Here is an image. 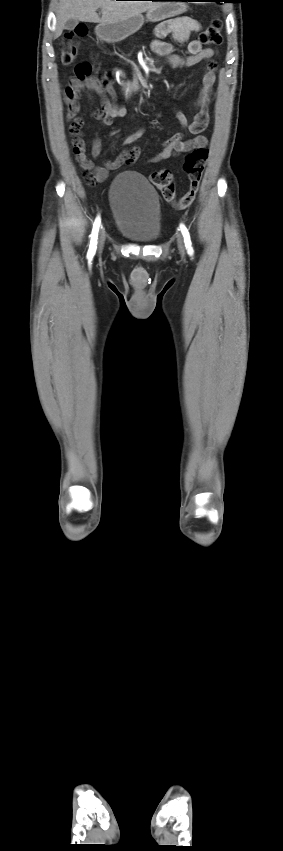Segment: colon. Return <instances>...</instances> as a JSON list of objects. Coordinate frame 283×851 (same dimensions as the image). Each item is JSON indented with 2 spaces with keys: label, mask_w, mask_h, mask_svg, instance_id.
<instances>
[{
  "label": "colon",
  "mask_w": 283,
  "mask_h": 851,
  "mask_svg": "<svg viewBox=\"0 0 283 851\" xmlns=\"http://www.w3.org/2000/svg\"><path fill=\"white\" fill-rule=\"evenodd\" d=\"M222 24L219 19H214L211 25L204 31L199 33L197 40L206 45H216L222 40L221 36ZM87 30L83 26L77 27L74 31L66 33L60 45L61 61L63 64H71L77 55V39L84 37ZM93 67L89 65L91 72ZM100 78L104 82L110 81V78L105 74H100ZM208 149L205 147L196 148L189 153L184 160L183 170L188 177V190L178 200L175 198V187L173 174L169 170H160L151 175V182L161 191L163 198L172 203L178 209H187L194 202L205 164L208 158Z\"/></svg>",
  "instance_id": "colon-1"
}]
</instances>
